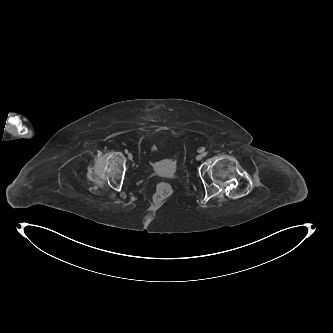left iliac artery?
<instances>
[{
	"label": "left iliac artery",
	"instance_id": "1",
	"mask_svg": "<svg viewBox=\"0 0 333 333\" xmlns=\"http://www.w3.org/2000/svg\"><path fill=\"white\" fill-rule=\"evenodd\" d=\"M204 150V148H202V150L201 151H203ZM207 155V152H204L203 153V156H206Z\"/></svg>",
	"mask_w": 333,
	"mask_h": 333
}]
</instances>
